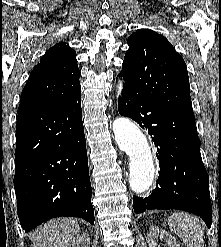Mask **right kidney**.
I'll use <instances>...</instances> for the list:
<instances>
[{
	"mask_svg": "<svg viewBox=\"0 0 221 247\" xmlns=\"http://www.w3.org/2000/svg\"><path fill=\"white\" fill-rule=\"evenodd\" d=\"M63 247H90L89 234H79L71 239V241Z\"/></svg>",
	"mask_w": 221,
	"mask_h": 247,
	"instance_id": "ca27d5eb",
	"label": "right kidney"
}]
</instances>
